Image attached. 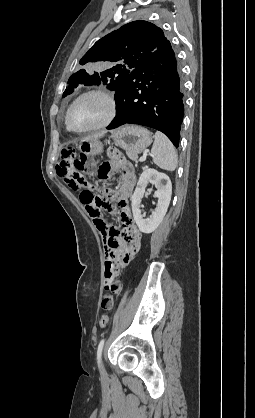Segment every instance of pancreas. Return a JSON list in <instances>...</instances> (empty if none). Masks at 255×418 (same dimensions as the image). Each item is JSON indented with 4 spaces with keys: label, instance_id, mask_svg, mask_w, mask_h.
Masks as SVG:
<instances>
[{
    "label": "pancreas",
    "instance_id": "1",
    "mask_svg": "<svg viewBox=\"0 0 255 418\" xmlns=\"http://www.w3.org/2000/svg\"><path fill=\"white\" fill-rule=\"evenodd\" d=\"M126 154L131 160L137 161V158H138L137 155H135L133 153H129V152H126Z\"/></svg>",
    "mask_w": 255,
    "mask_h": 418
}]
</instances>
